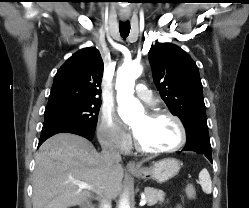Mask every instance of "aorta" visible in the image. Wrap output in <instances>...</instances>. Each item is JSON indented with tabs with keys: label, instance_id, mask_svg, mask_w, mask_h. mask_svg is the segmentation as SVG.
<instances>
[{
	"label": "aorta",
	"instance_id": "762f6f07",
	"mask_svg": "<svg viewBox=\"0 0 249 208\" xmlns=\"http://www.w3.org/2000/svg\"><path fill=\"white\" fill-rule=\"evenodd\" d=\"M142 67L137 63L123 64L117 71L116 90L119 115L125 123H129L143 114V106L134 94L135 80L141 75ZM118 208H130L129 199L123 196Z\"/></svg>",
	"mask_w": 249,
	"mask_h": 208
}]
</instances>
